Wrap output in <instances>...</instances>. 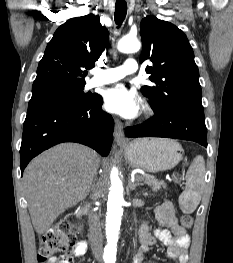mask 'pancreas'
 Wrapping results in <instances>:
<instances>
[{
	"label": "pancreas",
	"mask_w": 233,
	"mask_h": 263,
	"mask_svg": "<svg viewBox=\"0 0 233 263\" xmlns=\"http://www.w3.org/2000/svg\"><path fill=\"white\" fill-rule=\"evenodd\" d=\"M140 178L144 180V182L151 186L154 191L160 190L161 188L166 189L167 185L163 181H159L153 175L146 174L145 176H138L137 179Z\"/></svg>",
	"instance_id": "obj_1"
}]
</instances>
